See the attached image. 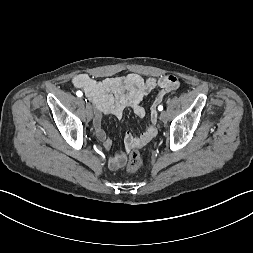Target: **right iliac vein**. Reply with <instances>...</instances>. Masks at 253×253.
Masks as SVG:
<instances>
[{
    "label": "right iliac vein",
    "mask_w": 253,
    "mask_h": 253,
    "mask_svg": "<svg viewBox=\"0 0 253 253\" xmlns=\"http://www.w3.org/2000/svg\"><path fill=\"white\" fill-rule=\"evenodd\" d=\"M85 112H86V118L88 120H91L93 117V110H92V106L89 103L86 105Z\"/></svg>",
    "instance_id": "63e3f726"
}]
</instances>
